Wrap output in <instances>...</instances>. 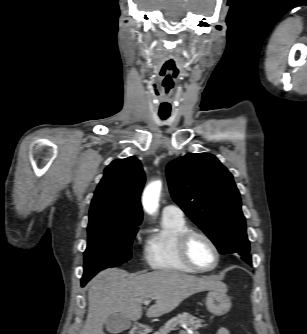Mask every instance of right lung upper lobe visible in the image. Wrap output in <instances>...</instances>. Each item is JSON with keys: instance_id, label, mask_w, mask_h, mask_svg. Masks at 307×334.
<instances>
[{"instance_id": "cb5924a9", "label": "right lung upper lobe", "mask_w": 307, "mask_h": 334, "mask_svg": "<svg viewBox=\"0 0 307 334\" xmlns=\"http://www.w3.org/2000/svg\"><path fill=\"white\" fill-rule=\"evenodd\" d=\"M145 174L136 157L114 160L105 168L91 201L89 224L117 222L140 224V195Z\"/></svg>"}]
</instances>
